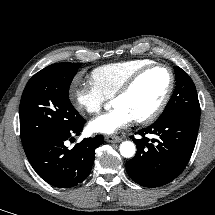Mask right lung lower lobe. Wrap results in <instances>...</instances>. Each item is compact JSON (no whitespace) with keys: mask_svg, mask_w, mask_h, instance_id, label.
<instances>
[{"mask_svg":"<svg viewBox=\"0 0 215 215\" xmlns=\"http://www.w3.org/2000/svg\"><path fill=\"white\" fill-rule=\"evenodd\" d=\"M83 125L84 119L81 117L69 129L25 151L33 169L47 183L59 188H70L83 182L89 175L95 149L104 142L103 136L85 138L72 149L65 146V141L72 135L80 134Z\"/></svg>","mask_w":215,"mask_h":215,"instance_id":"1","label":"right lung lower lobe"}]
</instances>
